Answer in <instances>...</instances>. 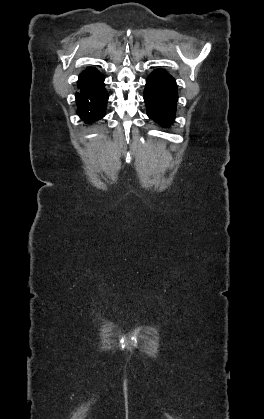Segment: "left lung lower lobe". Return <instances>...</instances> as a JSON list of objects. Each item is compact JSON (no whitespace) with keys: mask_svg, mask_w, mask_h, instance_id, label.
Returning <instances> with one entry per match:
<instances>
[{"mask_svg":"<svg viewBox=\"0 0 264 419\" xmlns=\"http://www.w3.org/2000/svg\"><path fill=\"white\" fill-rule=\"evenodd\" d=\"M177 86L174 78L162 70H154L146 79L144 101L147 115L162 126L175 118Z\"/></svg>","mask_w":264,"mask_h":419,"instance_id":"obj_1","label":"left lung lower lobe"}]
</instances>
